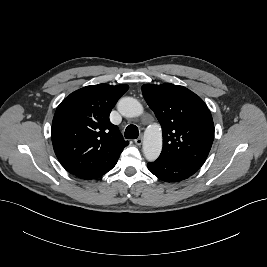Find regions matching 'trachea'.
Here are the masks:
<instances>
[{"mask_svg":"<svg viewBox=\"0 0 267 267\" xmlns=\"http://www.w3.org/2000/svg\"><path fill=\"white\" fill-rule=\"evenodd\" d=\"M124 136L126 139H136L139 136L138 127L133 124H130L126 128Z\"/></svg>","mask_w":267,"mask_h":267,"instance_id":"obj_1","label":"trachea"}]
</instances>
